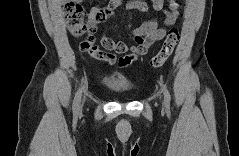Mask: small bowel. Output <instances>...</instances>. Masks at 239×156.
Wrapping results in <instances>:
<instances>
[{
	"label": "small bowel",
	"mask_w": 239,
	"mask_h": 156,
	"mask_svg": "<svg viewBox=\"0 0 239 156\" xmlns=\"http://www.w3.org/2000/svg\"><path fill=\"white\" fill-rule=\"evenodd\" d=\"M122 5V0H110L104 7H93L89 13V21L93 23L95 30L98 29L99 22L96 19L99 11H104L107 18L115 16L116 10ZM152 8L155 11L163 12V23L164 26H159L156 20H149L143 22L141 25L131 30V39L135 44H130L127 41H114L102 34L100 43L102 47L108 52H116L126 54L118 60L120 67H126L134 63L139 55H143L147 52L148 48L162 40L166 34V27L172 26L179 17L180 4L175 0H152ZM128 10H137L144 12L147 9V4L143 1L133 0L126 3ZM96 56H100L107 61L113 59L111 53H102L97 50L95 41L92 43V51Z\"/></svg>",
	"instance_id": "obj_1"
}]
</instances>
